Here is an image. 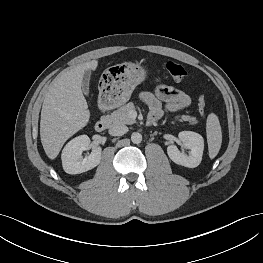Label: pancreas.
I'll use <instances>...</instances> for the list:
<instances>
[{
  "mask_svg": "<svg viewBox=\"0 0 263 263\" xmlns=\"http://www.w3.org/2000/svg\"><path fill=\"white\" fill-rule=\"evenodd\" d=\"M134 108V104L130 102L112 112L107 116V119L112 125L133 124L135 123V119L131 118L129 113ZM180 121H188L191 125L197 123L196 118L189 115H182Z\"/></svg>",
  "mask_w": 263,
  "mask_h": 263,
  "instance_id": "cf45deb5",
  "label": "pancreas"
}]
</instances>
